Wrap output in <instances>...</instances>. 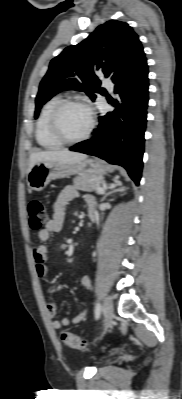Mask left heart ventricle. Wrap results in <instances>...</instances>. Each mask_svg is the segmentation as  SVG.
Masks as SVG:
<instances>
[{"label": "left heart ventricle", "instance_id": "1", "mask_svg": "<svg viewBox=\"0 0 182 399\" xmlns=\"http://www.w3.org/2000/svg\"><path fill=\"white\" fill-rule=\"evenodd\" d=\"M62 132L68 138H77L85 133L89 126V115L81 106L66 107L59 118Z\"/></svg>", "mask_w": 182, "mask_h": 399}]
</instances>
